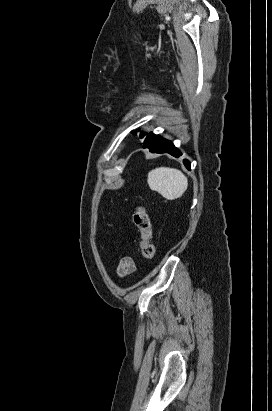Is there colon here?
<instances>
[{"mask_svg":"<svg viewBox=\"0 0 272 411\" xmlns=\"http://www.w3.org/2000/svg\"><path fill=\"white\" fill-rule=\"evenodd\" d=\"M133 221L140 232V250L142 256L147 260L155 257V249L151 242L152 227L150 218L143 206L138 205L133 212Z\"/></svg>","mask_w":272,"mask_h":411,"instance_id":"colon-1","label":"colon"}]
</instances>
